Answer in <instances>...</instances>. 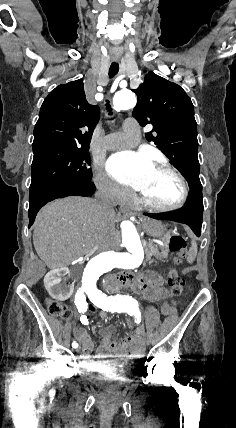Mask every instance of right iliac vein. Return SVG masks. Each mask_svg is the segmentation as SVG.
Returning <instances> with one entry per match:
<instances>
[{
	"label": "right iliac vein",
	"mask_w": 236,
	"mask_h": 428,
	"mask_svg": "<svg viewBox=\"0 0 236 428\" xmlns=\"http://www.w3.org/2000/svg\"><path fill=\"white\" fill-rule=\"evenodd\" d=\"M81 343H82L81 341L78 343L76 351H81Z\"/></svg>",
	"instance_id": "right-iliac-vein-1"
}]
</instances>
